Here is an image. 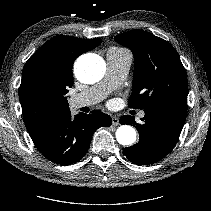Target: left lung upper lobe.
<instances>
[{
	"label": "left lung upper lobe",
	"instance_id": "1",
	"mask_svg": "<svg viewBox=\"0 0 211 211\" xmlns=\"http://www.w3.org/2000/svg\"><path fill=\"white\" fill-rule=\"evenodd\" d=\"M115 41L128 47L134 55L129 107L146 109L165 101H187L186 71L169 42L142 30L119 34Z\"/></svg>",
	"mask_w": 211,
	"mask_h": 211
}]
</instances>
